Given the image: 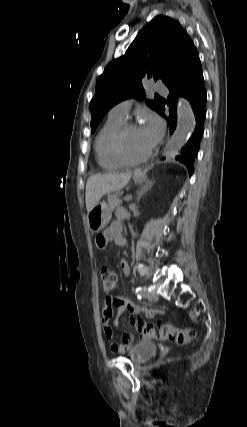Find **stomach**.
<instances>
[{
  "label": "stomach",
  "instance_id": "0dacf381",
  "mask_svg": "<svg viewBox=\"0 0 247 427\" xmlns=\"http://www.w3.org/2000/svg\"><path fill=\"white\" fill-rule=\"evenodd\" d=\"M135 182L142 183L144 176H135ZM111 210L106 202H98L87 214L88 227L92 232L101 231L110 220Z\"/></svg>",
  "mask_w": 247,
  "mask_h": 427
}]
</instances>
